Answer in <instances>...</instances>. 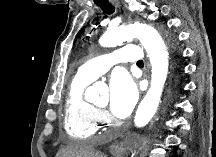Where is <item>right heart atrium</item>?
<instances>
[{
	"label": "right heart atrium",
	"instance_id": "right-heart-atrium-1",
	"mask_svg": "<svg viewBox=\"0 0 216 157\" xmlns=\"http://www.w3.org/2000/svg\"><path fill=\"white\" fill-rule=\"evenodd\" d=\"M98 121L100 123H106L108 121V116L104 111H99V113H98Z\"/></svg>",
	"mask_w": 216,
	"mask_h": 157
}]
</instances>
